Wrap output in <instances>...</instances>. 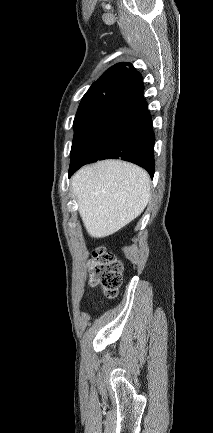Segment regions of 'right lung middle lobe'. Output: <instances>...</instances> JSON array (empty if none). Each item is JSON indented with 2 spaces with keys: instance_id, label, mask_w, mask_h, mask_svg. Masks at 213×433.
<instances>
[{
  "instance_id": "1",
  "label": "right lung middle lobe",
  "mask_w": 213,
  "mask_h": 433,
  "mask_svg": "<svg viewBox=\"0 0 213 433\" xmlns=\"http://www.w3.org/2000/svg\"><path fill=\"white\" fill-rule=\"evenodd\" d=\"M116 95L106 94L82 99L77 114L74 119V139L73 144L84 132L91 120L107 106Z\"/></svg>"
}]
</instances>
